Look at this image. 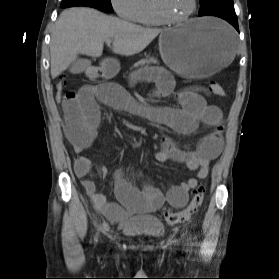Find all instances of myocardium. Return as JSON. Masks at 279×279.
<instances>
[{
	"label": "myocardium",
	"mask_w": 279,
	"mask_h": 279,
	"mask_svg": "<svg viewBox=\"0 0 279 279\" xmlns=\"http://www.w3.org/2000/svg\"><path fill=\"white\" fill-rule=\"evenodd\" d=\"M162 0H152V5L157 17L165 24L178 25L188 21L196 12L198 1L192 0V6L190 10L182 17L172 18L168 16L163 8Z\"/></svg>",
	"instance_id": "f54148a6"
}]
</instances>
